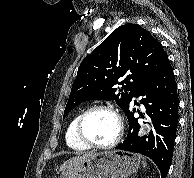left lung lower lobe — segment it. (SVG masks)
I'll use <instances>...</instances> for the list:
<instances>
[{"mask_svg": "<svg viewBox=\"0 0 194 178\" xmlns=\"http://www.w3.org/2000/svg\"><path fill=\"white\" fill-rule=\"evenodd\" d=\"M144 96L141 103L146 108V113L153 122L154 131L148 136L139 137L140 125L134 118L135 108H132L133 97ZM135 105H139L134 102ZM179 98L177 83L169 59L163 67L151 78L138 86L131 98L125 114L129 121V132L126 139L115 149L136 152L152 159L158 166L161 177L166 178L169 171L176 128L178 124Z\"/></svg>", "mask_w": 194, "mask_h": 178, "instance_id": "0a47b994", "label": "left lung lower lobe"}]
</instances>
